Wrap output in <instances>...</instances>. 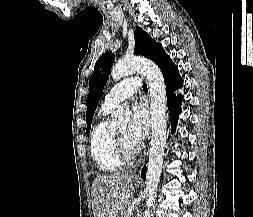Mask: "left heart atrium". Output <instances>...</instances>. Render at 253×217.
I'll return each mask as SVG.
<instances>
[{
    "instance_id": "obj_1",
    "label": "left heart atrium",
    "mask_w": 253,
    "mask_h": 217,
    "mask_svg": "<svg viewBox=\"0 0 253 217\" xmlns=\"http://www.w3.org/2000/svg\"><path fill=\"white\" fill-rule=\"evenodd\" d=\"M149 117L147 110L142 104H134L132 107L131 121L128 127L130 140L139 146L149 133Z\"/></svg>"
}]
</instances>
